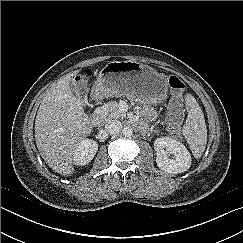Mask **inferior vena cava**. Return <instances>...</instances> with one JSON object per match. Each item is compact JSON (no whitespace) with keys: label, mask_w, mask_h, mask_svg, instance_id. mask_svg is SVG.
Returning <instances> with one entry per match:
<instances>
[{"label":"inferior vena cava","mask_w":243,"mask_h":243,"mask_svg":"<svg viewBox=\"0 0 243 243\" xmlns=\"http://www.w3.org/2000/svg\"><path fill=\"white\" fill-rule=\"evenodd\" d=\"M122 130V124L119 120H110L105 125V131L110 135H117Z\"/></svg>","instance_id":"inferior-vena-cava-1"}]
</instances>
